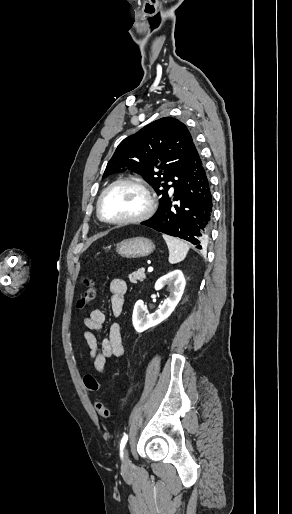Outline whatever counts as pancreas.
<instances>
[{"label": "pancreas", "mask_w": 292, "mask_h": 514, "mask_svg": "<svg viewBox=\"0 0 292 514\" xmlns=\"http://www.w3.org/2000/svg\"><path fill=\"white\" fill-rule=\"evenodd\" d=\"M144 272V268H140L138 272H133V274H129L128 278L130 282H132V284H137V280H139V282H143V280H145L146 278Z\"/></svg>", "instance_id": "obj_1"}]
</instances>
